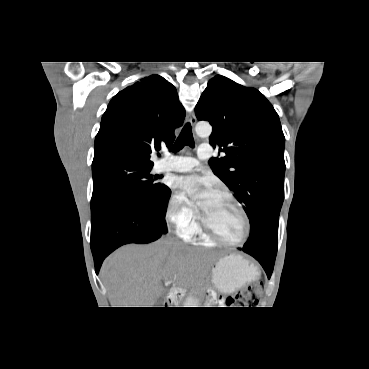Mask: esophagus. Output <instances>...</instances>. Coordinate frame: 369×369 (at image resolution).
I'll return each instance as SVG.
<instances>
[{
    "label": "esophagus",
    "mask_w": 369,
    "mask_h": 369,
    "mask_svg": "<svg viewBox=\"0 0 369 369\" xmlns=\"http://www.w3.org/2000/svg\"><path fill=\"white\" fill-rule=\"evenodd\" d=\"M187 121L194 127L195 124H196V115H195V112L192 111L191 113L188 114L187 116Z\"/></svg>",
    "instance_id": "1"
}]
</instances>
